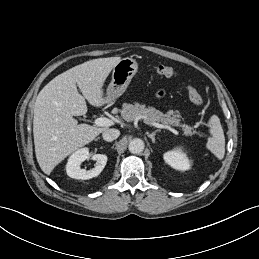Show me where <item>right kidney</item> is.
<instances>
[{"label":"right kidney","mask_w":259,"mask_h":259,"mask_svg":"<svg viewBox=\"0 0 259 259\" xmlns=\"http://www.w3.org/2000/svg\"><path fill=\"white\" fill-rule=\"evenodd\" d=\"M89 158L88 148H81L74 152L68 159L66 165L67 175L74 179L87 180L98 176L107 163V156L94 154L92 159L96 161L95 167L90 170L81 169V164Z\"/></svg>","instance_id":"obj_1"}]
</instances>
